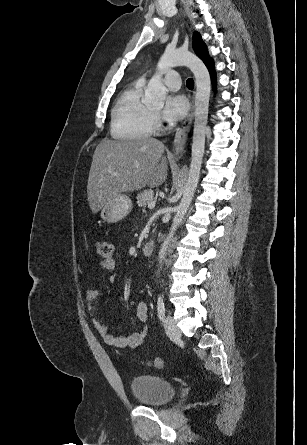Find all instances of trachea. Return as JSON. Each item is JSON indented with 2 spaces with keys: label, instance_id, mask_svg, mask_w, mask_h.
<instances>
[{
  "label": "trachea",
  "instance_id": "3493384b",
  "mask_svg": "<svg viewBox=\"0 0 307 445\" xmlns=\"http://www.w3.org/2000/svg\"><path fill=\"white\" fill-rule=\"evenodd\" d=\"M186 85H187V88L192 90L194 88V80L192 78H188V80L186 81Z\"/></svg>",
  "mask_w": 307,
  "mask_h": 445
}]
</instances>
